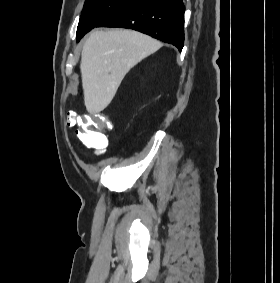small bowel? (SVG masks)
<instances>
[{
    "mask_svg": "<svg viewBox=\"0 0 280 283\" xmlns=\"http://www.w3.org/2000/svg\"><path fill=\"white\" fill-rule=\"evenodd\" d=\"M68 125H69V126H72V127L74 126V125H73V119H72V118H68Z\"/></svg>",
    "mask_w": 280,
    "mask_h": 283,
    "instance_id": "obj_1",
    "label": "small bowel"
}]
</instances>
